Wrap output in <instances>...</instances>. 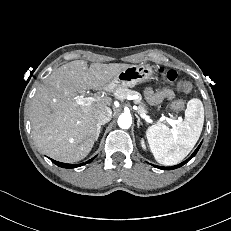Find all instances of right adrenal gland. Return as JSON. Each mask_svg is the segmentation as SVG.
<instances>
[{
  "instance_id": "2a0ac1e0",
  "label": "right adrenal gland",
  "mask_w": 231,
  "mask_h": 231,
  "mask_svg": "<svg viewBox=\"0 0 231 231\" xmlns=\"http://www.w3.org/2000/svg\"><path fill=\"white\" fill-rule=\"evenodd\" d=\"M104 124H99L97 125V135H96V140H98L99 134L101 132V126H103Z\"/></svg>"
}]
</instances>
